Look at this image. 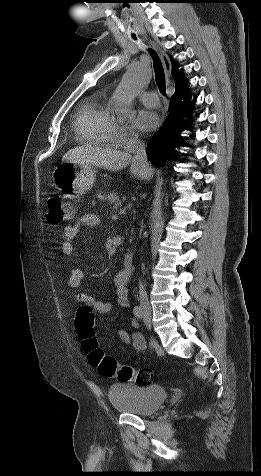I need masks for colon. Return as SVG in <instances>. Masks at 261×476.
I'll use <instances>...</instances> for the list:
<instances>
[{
  "label": "colon",
  "instance_id": "colon-1",
  "mask_svg": "<svg viewBox=\"0 0 261 476\" xmlns=\"http://www.w3.org/2000/svg\"><path fill=\"white\" fill-rule=\"evenodd\" d=\"M46 216L51 225L58 226L73 216V209L61 196L50 195L47 199ZM94 323L93 308L88 305L80 306L76 313L75 325L90 364L109 378L116 377L119 381H133L139 385L151 384L154 380V372L151 369H135L129 365L119 364L114 357L100 348L95 338Z\"/></svg>",
  "mask_w": 261,
  "mask_h": 476
}]
</instances>
